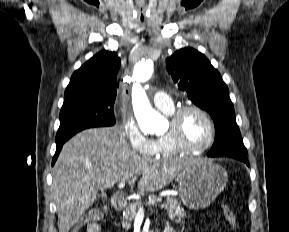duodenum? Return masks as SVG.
Here are the masks:
<instances>
[{
    "mask_svg": "<svg viewBox=\"0 0 289 232\" xmlns=\"http://www.w3.org/2000/svg\"><path fill=\"white\" fill-rule=\"evenodd\" d=\"M112 203L115 210H122L127 205L126 194L121 191L116 192L113 196Z\"/></svg>",
    "mask_w": 289,
    "mask_h": 232,
    "instance_id": "410a0bca",
    "label": "duodenum"
}]
</instances>
